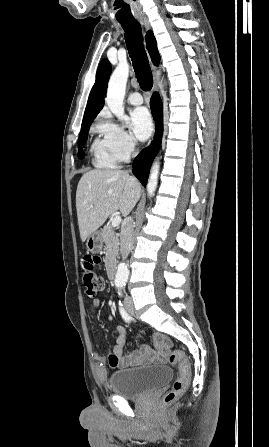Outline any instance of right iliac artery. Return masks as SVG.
Masks as SVG:
<instances>
[{
	"instance_id": "obj_1",
	"label": "right iliac artery",
	"mask_w": 269,
	"mask_h": 447,
	"mask_svg": "<svg viewBox=\"0 0 269 447\" xmlns=\"http://www.w3.org/2000/svg\"><path fill=\"white\" fill-rule=\"evenodd\" d=\"M118 287H121V284L117 285ZM119 305H120V313L122 315V318L126 321V322H130L131 317L127 314V312L125 311V309L122 307L123 305L121 304V301H119Z\"/></svg>"
}]
</instances>
